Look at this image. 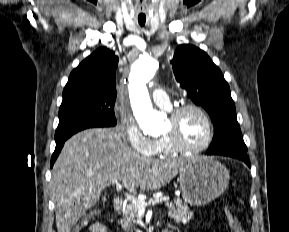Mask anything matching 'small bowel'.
I'll use <instances>...</instances> for the list:
<instances>
[{"label":"small bowel","instance_id":"c3829d8e","mask_svg":"<svg viewBox=\"0 0 289 232\" xmlns=\"http://www.w3.org/2000/svg\"><path fill=\"white\" fill-rule=\"evenodd\" d=\"M165 232H173L171 229H164ZM90 232H110L109 229L101 222H94L89 226Z\"/></svg>","mask_w":289,"mask_h":232}]
</instances>
